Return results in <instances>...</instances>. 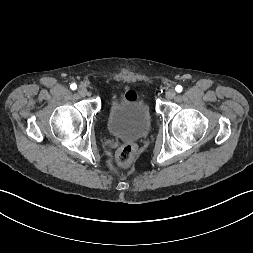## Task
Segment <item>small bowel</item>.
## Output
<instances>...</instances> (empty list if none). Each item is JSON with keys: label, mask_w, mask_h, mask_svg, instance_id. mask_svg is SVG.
<instances>
[{"label": "small bowel", "mask_w": 253, "mask_h": 253, "mask_svg": "<svg viewBox=\"0 0 253 253\" xmlns=\"http://www.w3.org/2000/svg\"><path fill=\"white\" fill-rule=\"evenodd\" d=\"M125 94L131 98L137 96V94L134 91H127Z\"/></svg>", "instance_id": "obj_1"}]
</instances>
